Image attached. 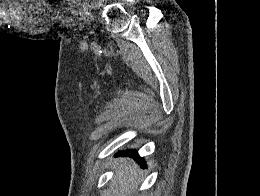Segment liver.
Segmentation results:
<instances>
[{"mask_svg":"<svg viewBox=\"0 0 260 196\" xmlns=\"http://www.w3.org/2000/svg\"><path fill=\"white\" fill-rule=\"evenodd\" d=\"M143 170L133 160L122 162L116 170L112 186L119 184L121 194H131L143 180Z\"/></svg>","mask_w":260,"mask_h":196,"instance_id":"obj_1","label":"liver"}]
</instances>
